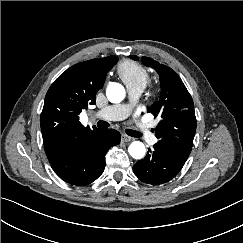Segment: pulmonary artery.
<instances>
[{"label": "pulmonary artery", "instance_id": "1", "mask_svg": "<svg viewBox=\"0 0 243 243\" xmlns=\"http://www.w3.org/2000/svg\"><path fill=\"white\" fill-rule=\"evenodd\" d=\"M129 102L126 104H116L107 106L98 112L95 113V117L104 119V120H121L130 115L132 109L141 95L143 89L140 87H127ZM137 131L141 134V136L149 143L154 144L156 142V138L154 134L150 131L149 125L142 120H138L136 122Z\"/></svg>", "mask_w": 243, "mask_h": 243}]
</instances>
